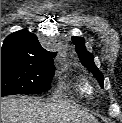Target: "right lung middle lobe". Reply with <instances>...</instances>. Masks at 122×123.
<instances>
[{"label": "right lung middle lobe", "instance_id": "obj_1", "mask_svg": "<svg viewBox=\"0 0 122 123\" xmlns=\"http://www.w3.org/2000/svg\"><path fill=\"white\" fill-rule=\"evenodd\" d=\"M54 70L52 62L1 58V97L39 94L49 90Z\"/></svg>", "mask_w": 122, "mask_h": 123}]
</instances>
